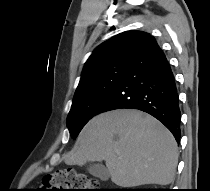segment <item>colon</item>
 <instances>
[{
    "instance_id": "colon-1",
    "label": "colon",
    "mask_w": 210,
    "mask_h": 191,
    "mask_svg": "<svg viewBox=\"0 0 210 191\" xmlns=\"http://www.w3.org/2000/svg\"><path fill=\"white\" fill-rule=\"evenodd\" d=\"M49 191H103L96 180L76 170H63L44 176L41 181Z\"/></svg>"
}]
</instances>
